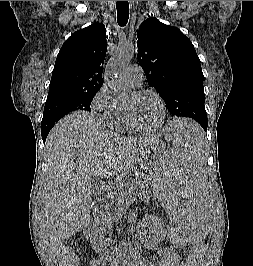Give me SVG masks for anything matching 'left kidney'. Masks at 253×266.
<instances>
[{
  "instance_id": "obj_1",
  "label": "left kidney",
  "mask_w": 253,
  "mask_h": 266,
  "mask_svg": "<svg viewBox=\"0 0 253 266\" xmlns=\"http://www.w3.org/2000/svg\"><path fill=\"white\" fill-rule=\"evenodd\" d=\"M146 228H149L147 230ZM139 240L147 247H155L167 234L164 221L155 215H145L137 224Z\"/></svg>"
}]
</instances>
